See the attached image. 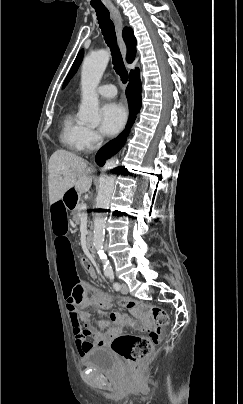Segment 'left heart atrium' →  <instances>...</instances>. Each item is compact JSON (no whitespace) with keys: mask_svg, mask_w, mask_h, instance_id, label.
Here are the masks:
<instances>
[{"mask_svg":"<svg viewBox=\"0 0 243 404\" xmlns=\"http://www.w3.org/2000/svg\"><path fill=\"white\" fill-rule=\"evenodd\" d=\"M126 112L123 106L116 101H108L100 110L99 129L104 135L117 133L124 125Z\"/></svg>","mask_w":243,"mask_h":404,"instance_id":"39dd6f15","label":"left heart atrium"}]
</instances>
